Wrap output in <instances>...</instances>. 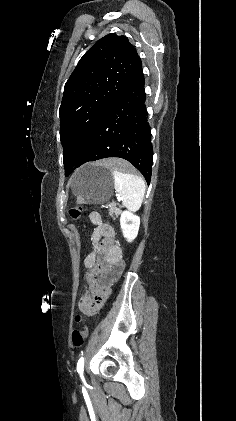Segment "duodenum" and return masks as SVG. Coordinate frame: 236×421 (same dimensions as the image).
<instances>
[{
    "label": "duodenum",
    "mask_w": 236,
    "mask_h": 421,
    "mask_svg": "<svg viewBox=\"0 0 236 421\" xmlns=\"http://www.w3.org/2000/svg\"><path fill=\"white\" fill-rule=\"evenodd\" d=\"M97 261L96 272L98 283L93 295L85 299V306L96 312L107 300L110 287L122 272L121 252L112 243H104L93 255L92 262Z\"/></svg>",
    "instance_id": "1"
}]
</instances>
